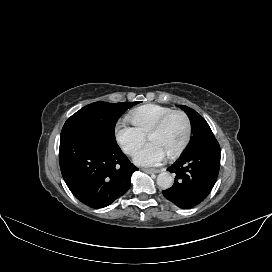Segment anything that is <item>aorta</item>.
Listing matches in <instances>:
<instances>
[{
	"instance_id": "1",
	"label": "aorta",
	"mask_w": 272,
	"mask_h": 272,
	"mask_svg": "<svg viewBox=\"0 0 272 272\" xmlns=\"http://www.w3.org/2000/svg\"><path fill=\"white\" fill-rule=\"evenodd\" d=\"M173 184V177L168 172H162L157 177V185L162 189H169Z\"/></svg>"
}]
</instances>
